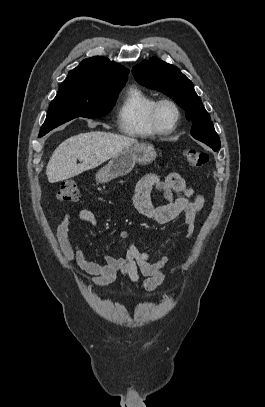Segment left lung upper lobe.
<instances>
[{
    "label": "left lung upper lobe",
    "instance_id": "5c2ea615",
    "mask_svg": "<svg viewBox=\"0 0 265 407\" xmlns=\"http://www.w3.org/2000/svg\"><path fill=\"white\" fill-rule=\"evenodd\" d=\"M136 81L150 89L163 92L186 111V118L192 122L191 135L211 148L220 149V140L194 90L193 83L174 65L156 57L144 60L133 67Z\"/></svg>",
    "mask_w": 265,
    "mask_h": 407
}]
</instances>
